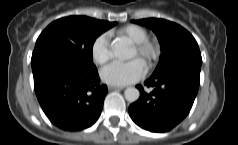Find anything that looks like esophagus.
Wrapping results in <instances>:
<instances>
[{
    "instance_id": "1",
    "label": "esophagus",
    "mask_w": 238,
    "mask_h": 145,
    "mask_svg": "<svg viewBox=\"0 0 238 145\" xmlns=\"http://www.w3.org/2000/svg\"><path fill=\"white\" fill-rule=\"evenodd\" d=\"M108 89L111 90V91L112 90H118L119 91V90H123L124 87L109 86Z\"/></svg>"
}]
</instances>
